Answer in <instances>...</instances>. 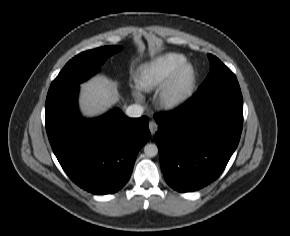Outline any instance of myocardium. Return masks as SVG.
Listing matches in <instances>:
<instances>
[{"label": "myocardium", "mask_w": 290, "mask_h": 236, "mask_svg": "<svg viewBox=\"0 0 290 236\" xmlns=\"http://www.w3.org/2000/svg\"><path fill=\"white\" fill-rule=\"evenodd\" d=\"M196 85L195 67L189 62H184L157 92L156 103L164 110H175L192 97Z\"/></svg>", "instance_id": "1"}]
</instances>
